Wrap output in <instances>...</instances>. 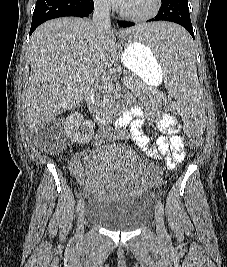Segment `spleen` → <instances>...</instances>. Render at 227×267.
I'll list each match as a JSON object with an SVG mask.
<instances>
[{
    "instance_id": "3e777b00",
    "label": "spleen",
    "mask_w": 227,
    "mask_h": 267,
    "mask_svg": "<svg viewBox=\"0 0 227 267\" xmlns=\"http://www.w3.org/2000/svg\"><path fill=\"white\" fill-rule=\"evenodd\" d=\"M133 33H125V43H144L151 47L155 59H164L167 63L163 81L167 82L169 94L177 99L180 106L178 115H204L201 105L202 90L197 79L194 38H190L187 29L171 19H154V22H139L131 25ZM198 105V106H194ZM185 125V137L190 140H203L206 124L202 116H180Z\"/></svg>"
}]
</instances>
